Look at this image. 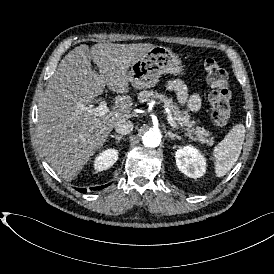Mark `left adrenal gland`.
I'll list each match as a JSON object with an SVG mask.
<instances>
[{
  "mask_svg": "<svg viewBox=\"0 0 274 274\" xmlns=\"http://www.w3.org/2000/svg\"><path fill=\"white\" fill-rule=\"evenodd\" d=\"M167 135L168 137L171 139V140H175V139H178V140H181V137L177 134H174L173 132L171 131H168L167 132Z\"/></svg>",
  "mask_w": 274,
  "mask_h": 274,
  "instance_id": "a2214340",
  "label": "left adrenal gland"
}]
</instances>
